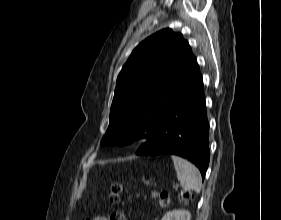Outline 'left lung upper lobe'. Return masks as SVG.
<instances>
[{"instance_id":"obj_1","label":"left lung upper lobe","mask_w":281,"mask_h":220,"mask_svg":"<svg viewBox=\"0 0 281 220\" xmlns=\"http://www.w3.org/2000/svg\"><path fill=\"white\" fill-rule=\"evenodd\" d=\"M198 69L191 48L180 33L163 29L142 41L117 78L110 123L101 144L151 140Z\"/></svg>"}]
</instances>
